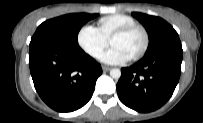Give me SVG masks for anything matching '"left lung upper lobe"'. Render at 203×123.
Masks as SVG:
<instances>
[{
  "instance_id": "1",
  "label": "left lung upper lobe",
  "mask_w": 203,
  "mask_h": 123,
  "mask_svg": "<svg viewBox=\"0 0 203 123\" xmlns=\"http://www.w3.org/2000/svg\"><path fill=\"white\" fill-rule=\"evenodd\" d=\"M132 15L144 25L149 34L150 44L146 54L173 44H181L177 32L162 18L137 12Z\"/></svg>"
}]
</instances>
